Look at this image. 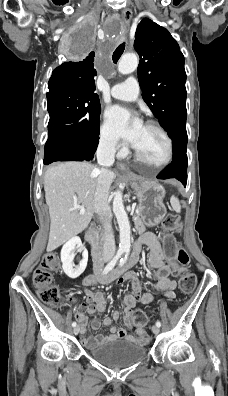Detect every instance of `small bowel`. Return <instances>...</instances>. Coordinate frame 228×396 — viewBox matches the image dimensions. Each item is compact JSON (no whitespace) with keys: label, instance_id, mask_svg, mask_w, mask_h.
I'll return each mask as SVG.
<instances>
[{"label":"small bowel","instance_id":"small-bowel-1","mask_svg":"<svg viewBox=\"0 0 228 396\" xmlns=\"http://www.w3.org/2000/svg\"><path fill=\"white\" fill-rule=\"evenodd\" d=\"M143 245H146L149 248L148 264L155 270L156 282L153 284V288L161 291L162 296L165 298H175L177 283L170 277L171 266L165 262V252L158 237L154 233H145L136 242L131 259L136 261ZM106 276L107 275L100 276V273L97 272L95 275L86 277L83 281L87 304L79 306L75 314L80 324L82 345L89 349L101 343L116 339L146 343L148 340L147 331L142 327L135 326L131 321V315L137 304H149L155 299V296L152 293L142 294L141 285L136 276L132 273H128L116 279L118 284L128 281L132 286V293L126 294L124 296V327L117 328L114 325V322L120 318V312L118 310H114L111 318L108 317L102 320L94 318L91 322V327L93 330L99 329L101 325L108 326L110 332L108 335H96L94 337H90L85 334V328L88 322L87 315L94 312H103L106 307V300L103 293L99 291H92L90 287L96 283H108L104 280ZM127 328H135V335L128 334Z\"/></svg>","mask_w":228,"mask_h":396}]
</instances>
